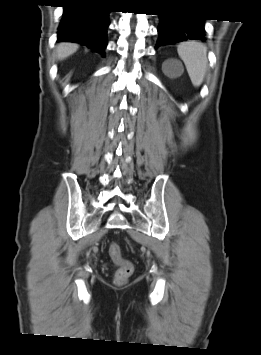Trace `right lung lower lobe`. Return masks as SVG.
<instances>
[{
    "instance_id": "1",
    "label": "right lung lower lobe",
    "mask_w": 261,
    "mask_h": 355,
    "mask_svg": "<svg viewBox=\"0 0 261 355\" xmlns=\"http://www.w3.org/2000/svg\"><path fill=\"white\" fill-rule=\"evenodd\" d=\"M100 1L72 0L71 3H64L57 41L84 44L104 55L109 11L102 8Z\"/></svg>"
}]
</instances>
